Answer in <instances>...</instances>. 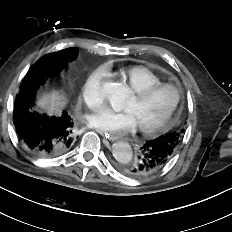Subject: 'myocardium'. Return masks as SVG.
<instances>
[{"instance_id":"f54148a6","label":"myocardium","mask_w":232,"mask_h":232,"mask_svg":"<svg viewBox=\"0 0 232 232\" xmlns=\"http://www.w3.org/2000/svg\"><path fill=\"white\" fill-rule=\"evenodd\" d=\"M166 88L171 89L175 94L173 103L169 107L167 113L159 121L151 125H147V126L139 125L138 129L141 133L145 135H152L162 130L169 124V122L171 121L172 117L174 116L175 112L177 111L179 107V104L181 101V90L178 86L171 84V83H157V84L148 85L142 89L133 91V96L137 100H144L145 98L150 96L152 93L160 89H166Z\"/></svg>"}]
</instances>
